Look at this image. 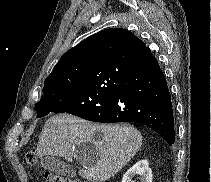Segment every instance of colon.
Wrapping results in <instances>:
<instances>
[{
    "label": "colon",
    "mask_w": 211,
    "mask_h": 182,
    "mask_svg": "<svg viewBox=\"0 0 211 182\" xmlns=\"http://www.w3.org/2000/svg\"><path fill=\"white\" fill-rule=\"evenodd\" d=\"M26 162L29 166H34L37 163V154L34 150H30L26 153ZM45 182H87L77 179H70L60 175L46 172L44 174Z\"/></svg>",
    "instance_id": "colon-1"
}]
</instances>
